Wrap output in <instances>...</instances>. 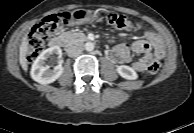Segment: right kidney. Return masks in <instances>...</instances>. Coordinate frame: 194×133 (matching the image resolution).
Instances as JSON below:
<instances>
[{
    "label": "right kidney",
    "mask_w": 194,
    "mask_h": 133,
    "mask_svg": "<svg viewBox=\"0 0 194 133\" xmlns=\"http://www.w3.org/2000/svg\"><path fill=\"white\" fill-rule=\"evenodd\" d=\"M54 54L58 55L59 59L61 58L62 50L60 47H50L36 58L31 68V77L34 81L40 84H50L62 75L64 69L61 62L53 69H49V66L45 64V61Z\"/></svg>",
    "instance_id": "ca27d5eb"
}]
</instances>
